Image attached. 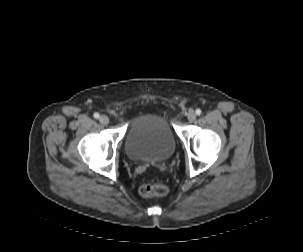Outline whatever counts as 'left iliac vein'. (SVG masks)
Listing matches in <instances>:
<instances>
[{
  "mask_svg": "<svg viewBox=\"0 0 303 252\" xmlns=\"http://www.w3.org/2000/svg\"><path fill=\"white\" fill-rule=\"evenodd\" d=\"M187 118L190 122H194L196 120V114L194 112H189Z\"/></svg>",
  "mask_w": 303,
  "mask_h": 252,
  "instance_id": "1",
  "label": "left iliac vein"
}]
</instances>
